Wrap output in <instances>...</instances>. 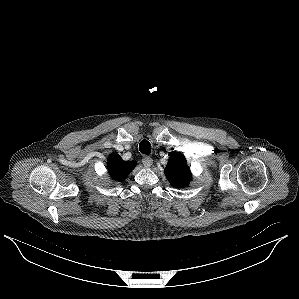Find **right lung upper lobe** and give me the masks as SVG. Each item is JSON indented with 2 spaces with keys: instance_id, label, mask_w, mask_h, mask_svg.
Returning <instances> with one entry per match:
<instances>
[{
  "instance_id": "right-lung-upper-lobe-1",
  "label": "right lung upper lobe",
  "mask_w": 299,
  "mask_h": 299,
  "mask_svg": "<svg viewBox=\"0 0 299 299\" xmlns=\"http://www.w3.org/2000/svg\"><path fill=\"white\" fill-rule=\"evenodd\" d=\"M136 162L123 161L119 155L112 154L108 158V171L116 181H122L135 167Z\"/></svg>"
}]
</instances>
